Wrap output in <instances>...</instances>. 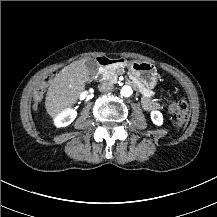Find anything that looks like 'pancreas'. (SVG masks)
<instances>
[{
    "label": "pancreas",
    "instance_id": "cf45deb5",
    "mask_svg": "<svg viewBox=\"0 0 217 217\" xmlns=\"http://www.w3.org/2000/svg\"><path fill=\"white\" fill-rule=\"evenodd\" d=\"M123 72V69L115 68L112 70H103L102 74L103 78L110 80L112 83H116L118 76L121 75ZM128 76L132 82L138 84L139 90L142 91L143 96H147L148 98L154 97V92L152 89H147L144 84H141L140 81H138V79L135 78L132 74H128Z\"/></svg>",
    "mask_w": 217,
    "mask_h": 217
}]
</instances>
